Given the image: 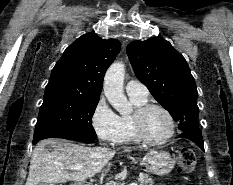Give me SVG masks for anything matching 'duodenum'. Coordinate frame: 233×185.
Instances as JSON below:
<instances>
[{"instance_id":"duodenum-1","label":"duodenum","mask_w":233,"mask_h":185,"mask_svg":"<svg viewBox=\"0 0 233 185\" xmlns=\"http://www.w3.org/2000/svg\"><path fill=\"white\" fill-rule=\"evenodd\" d=\"M81 185H89V184H81Z\"/></svg>"}]
</instances>
